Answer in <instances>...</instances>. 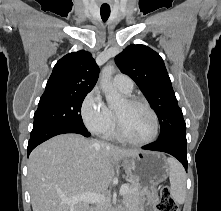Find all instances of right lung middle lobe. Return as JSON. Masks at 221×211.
Segmentation results:
<instances>
[{"mask_svg": "<svg viewBox=\"0 0 221 211\" xmlns=\"http://www.w3.org/2000/svg\"><path fill=\"white\" fill-rule=\"evenodd\" d=\"M87 93H44L34 113L32 133L49 127L72 126L84 129L80 114Z\"/></svg>", "mask_w": 221, "mask_h": 211, "instance_id": "1", "label": "right lung middle lobe"}]
</instances>
